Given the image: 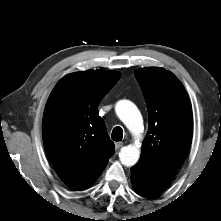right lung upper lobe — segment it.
Wrapping results in <instances>:
<instances>
[{"label":"right lung upper lobe","mask_w":221,"mask_h":221,"mask_svg":"<svg viewBox=\"0 0 221 221\" xmlns=\"http://www.w3.org/2000/svg\"><path fill=\"white\" fill-rule=\"evenodd\" d=\"M120 76L101 70L72 73L48 99L42 126L45 151L58 176L72 188L91 186L115 152L97 107Z\"/></svg>","instance_id":"1"}]
</instances>
